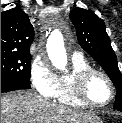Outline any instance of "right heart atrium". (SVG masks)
Wrapping results in <instances>:
<instances>
[{
	"label": "right heart atrium",
	"mask_w": 122,
	"mask_h": 123,
	"mask_svg": "<svg viewBox=\"0 0 122 123\" xmlns=\"http://www.w3.org/2000/svg\"><path fill=\"white\" fill-rule=\"evenodd\" d=\"M57 75L48 60L36 56L30 66V79L34 89L45 98H52L57 87Z\"/></svg>",
	"instance_id": "d8ad5b80"
}]
</instances>
